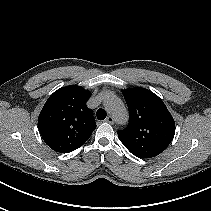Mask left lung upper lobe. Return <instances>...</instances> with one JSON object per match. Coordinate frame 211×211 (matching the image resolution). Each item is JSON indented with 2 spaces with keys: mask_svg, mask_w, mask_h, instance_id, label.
I'll return each instance as SVG.
<instances>
[{
  "mask_svg": "<svg viewBox=\"0 0 211 211\" xmlns=\"http://www.w3.org/2000/svg\"><path fill=\"white\" fill-rule=\"evenodd\" d=\"M122 93L129 109V123L117 132L120 141L139 158L159 155L174 137L173 117L164 102L150 90L136 87Z\"/></svg>",
  "mask_w": 211,
  "mask_h": 211,
  "instance_id": "left-lung-upper-lobe-1",
  "label": "left lung upper lobe"
}]
</instances>
